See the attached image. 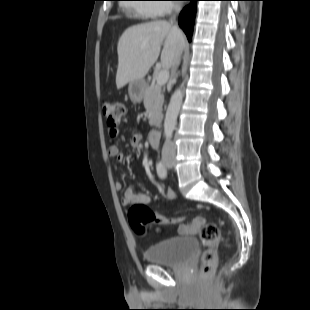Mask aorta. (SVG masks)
Listing matches in <instances>:
<instances>
[{
    "instance_id": "1",
    "label": "aorta",
    "mask_w": 310,
    "mask_h": 310,
    "mask_svg": "<svg viewBox=\"0 0 310 310\" xmlns=\"http://www.w3.org/2000/svg\"><path fill=\"white\" fill-rule=\"evenodd\" d=\"M183 100V91L178 88L171 96L164 120V136L170 141L175 129L177 117Z\"/></svg>"
}]
</instances>
